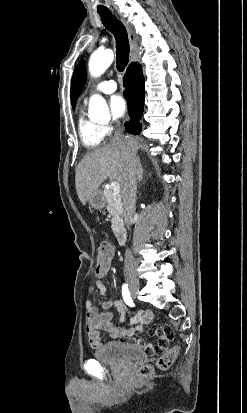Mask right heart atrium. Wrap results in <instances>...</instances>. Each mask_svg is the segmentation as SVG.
Listing matches in <instances>:
<instances>
[{"label": "right heart atrium", "instance_id": "obj_1", "mask_svg": "<svg viewBox=\"0 0 247 413\" xmlns=\"http://www.w3.org/2000/svg\"><path fill=\"white\" fill-rule=\"evenodd\" d=\"M104 134H109L111 129L109 126H100Z\"/></svg>", "mask_w": 247, "mask_h": 413}]
</instances>
